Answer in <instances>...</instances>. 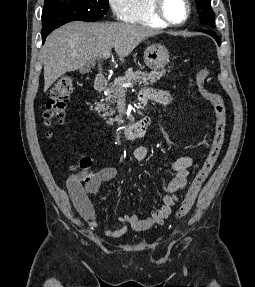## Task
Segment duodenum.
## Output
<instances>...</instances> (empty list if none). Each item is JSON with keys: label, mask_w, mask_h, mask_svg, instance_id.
Masks as SVG:
<instances>
[{"label": "duodenum", "mask_w": 255, "mask_h": 287, "mask_svg": "<svg viewBox=\"0 0 255 287\" xmlns=\"http://www.w3.org/2000/svg\"><path fill=\"white\" fill-rule=\"evenodd\" d=\"M108 83L104 78H96L94 81V89L97 92H103ZM152 92L148 90L141 91L138 99L143 106H146L148 101L152 99ZM151 124V118L148 114H145L140 120L129 127L121 128L115 133V137L118 140H133L146 135Z\"/></svg>", "instance_id": "duodenum-1"}]
</instances>
